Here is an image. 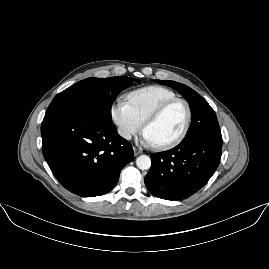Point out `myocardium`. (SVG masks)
I'll return each instance as SVG.
<instances>
[{
    "label": "myocardium",
    "instance_id": "f54148a6",
    "mask_svg": "<svg viewBox=\"0 0 269 269\" xmlns=\"http://www.w3.org/2000/svg\"><path fill=\"white\" fill-rule=\"evenodd\" d=\"M177 103H181L185 107V110H186V121H185L184 127H183L182 131L180 132V134L175 139H173L172 141H170L168 143H165L163 145H154V144L149 143L151 145V147L157 151L170 150V149L176 147L178 144H180L184 140V138L188 134V131H189L190 125H191V119H192L191 107L186 100L176 97L174 99H171V100H168V101L162 103L160 106H158L156 109H154L147 116V118L144 121L142 133H143V136L145 137V133H146L148 126L151 123H153L157 118H159L168 108H170L171 106H173L174 104H177Z\"/></svg>",
    "mask_w": 269,
    "mask_h": 269
}]
</instances>
